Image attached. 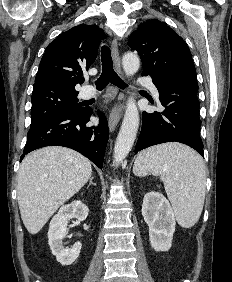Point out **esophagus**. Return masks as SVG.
Listing matches in <instances>:
<instances>
[{
    "label": "esophagus",
    "instance_id": "obj_1",
    "mask_svg": "<svg viewBox=\"0 0 232 282\" xmlns=\"http://www.w3.org/2000/svg\"><path fill=\"white\" fill-rule=\"evenodd\" d=\"M111 50H112V57H113L115 68L119 73H121V60L119 56L117 39L112 40ZM122 109H123V95L120 94L118 96V102L114 105V107L111 109L109 113L108 126L111 132L115 130V128L119 123Z\"/></svg>",
    "mask_w": 232,
    "mask_h": 282
}]
</instances>
